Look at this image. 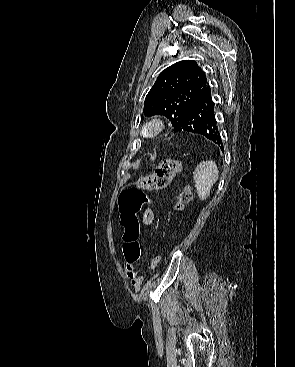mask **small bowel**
I'll return each mask as SVG.
<instances>
[{"label": "small bowel", "instance_id": "c3829d8e", "mask_svg": "<svg viewBox=\"0 0 295 367\" xmlns=\"http://www.w3.org/2000/svg\"><path fill=\"white\" fill-rule=\"evenodd\" d=\"M153 219H154L153 212L150 209H147L144 213V222L149 225L152 224ZM125 274L129 279L133 290L136 292L139 291L142 286L143 277L136 270L135 261H128L125 258Z\"/></svg>", "mask_w": 295, "mask_h": 367}]
</instances>
